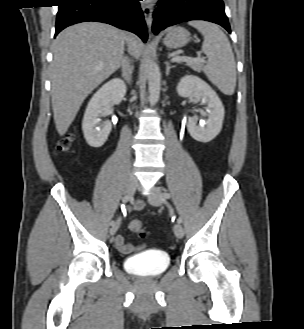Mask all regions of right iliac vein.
<instances>
[{
  "instance_id": "right-iliac-vein-1",
  "label": "right iliac vein",
  "mask_w": 304,
  "mask_h": 329,
  "mask_svg": "<svg viewBox=\"0 0 304 329\" xmlns=\"http://www.w3.org/2000/svg\"><path fill=\"white\" fill-rule=\"evenodd\" d=\"M137 186H138L137 180L133 177H129L126 181V184H125L126 194L129 195V196H132L134 194ZM119 224H120V222H119V220H117L115 222V224L112 225V227L110 228V234L111 235H114L117 232V230L119 228Z\"/></svg>"
}]
</instances>
